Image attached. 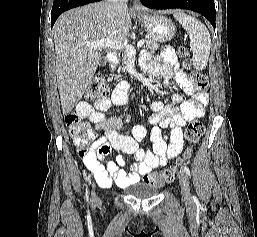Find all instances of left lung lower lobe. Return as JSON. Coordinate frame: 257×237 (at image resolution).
<instances>
[{
	"label": "left lung lower lobe",
	"instance_id": "obj_1",
	"mask_svg": "<svg viewBox=\"0 0 257 237\" xmlns=\"http://www.w3.org/2000/svg\"><path fill=\"white\" fill-rule=\"evenodd\" d=\"M141 3L151 9H188L203 15L215 28L214 0H141Z\"/></svg>",
	"mask_w": 257,
	"mask_h": 237
}]
</instances>
